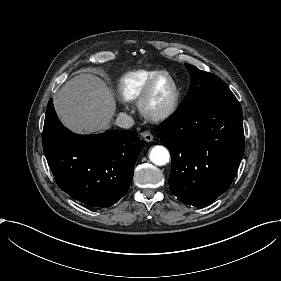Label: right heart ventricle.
I'll use <instances>...</instances> for the list:
<instances>
[{"label":"right heart ventricle","mask_w":281,"mask_h":281,"mask_svg":"<svg viewBox=\"0 0 281 281\" xmlns=\"http://www.w3.org/2000/svg\"><path fill=\"white\" fill-rule=\"evenodd\" d=\"M164 72L162 70H138L123 75L118 79L116 85L119 99L123 102L138 100L147 84Z\"/></svg>","instance_id":"e07e8e85"}]
</instances>
